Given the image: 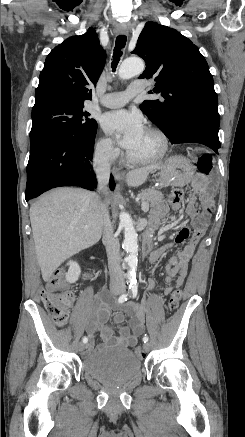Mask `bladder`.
<instances>
[{"label":"bladder","instance_id":"obj_1","mask_svg":"<svg viewBox=\"0 0 245 437\" xmlns=\"http://www.w3.org/2000/svg\"><path fill=\"white\" fill-rule=\"evenodd\" d=\"M83 370L107 385H123L140 371L139 357L125 348H98L87 354L82 362Z\"/></svg>","mask_w":245,"mask_h":437}]
</instances>
